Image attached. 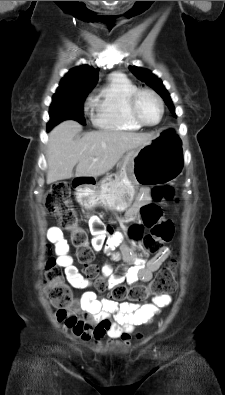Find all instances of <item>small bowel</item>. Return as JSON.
Here are the masks:
<instances>
[{
	"label": "small bowel",
	"mask_w": 225,
	"mask_h": 395,
	"mask_svg": "<svg viewBox=\"0 0 225 395\" xmlns=\"http://www.w3.org/2000/svg\"><path fill=\"white\" fill-rule=\"evenodd\" d=\"M147 201L148 192L143 189L139 199L128 209L126 218L129 221L135 220L141 208L147 205ZM89 228L93 234L92 248L97 252L104 250L111 253L120 236L113 235L97 216L90 218ZM108 235H111L110 238H107ZM47 238L53 244L54 253L58 256L56 266H60V270H65L68 274L71 292H82V296L73 301L66 310L56 311L55 314L56 319L76 339L84 342L94 341L99 344L104 337H108L111 344L127 346L137 326L150 323L161 308L171 303V297L168 294L157 295L151 303L142 305L128 302L117 303L100 298L97 288H89L91 281L81 279L80 267H76V263H73L70 257L72 248L68 237H63L59 228L50 227L47 230ZM170 254V248L163 246L154 256L145 258L130 248L124 247L122 257L127 266L118 270L105 266L100 279H106L109 287L123 281L130 285L148 282ZM113 257L119 258V255L113 254ZM136 338L141 339L142 335L136 334Z\"/></svg>",
	"instance_id": "small-bowel-1"
}]
</instances>
